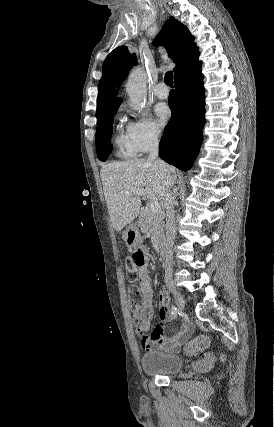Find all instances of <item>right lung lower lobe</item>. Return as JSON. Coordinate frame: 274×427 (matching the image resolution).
I'll list each match as a JSON object with an SVG mask.
<instances>
[{"instance_id": "right-lung-lower-lobe-1", "label": "right lung lower lobe", "mask_w": 274, "mask_h": 427, "mask_svg": "<svg viewBox=\"0 0 274 427\" xmlns=\"http://www.w3.org/2000/svg\"><path fill=\"white\" fill-rule=\"evenodd\" d=\"M169 96L172 117L159 145V156L181 170H188L199 152L205 124V95L201 63L180 74Z\"/></svg>"}]
</instances>
